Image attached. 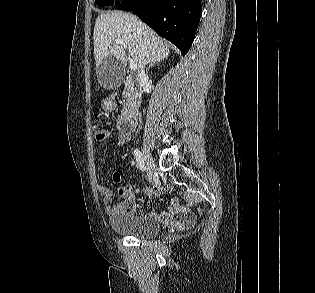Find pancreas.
Instances as JSON below:
<instances>
[{
    "label": "pancreas",
    "mask_w": 315,
    "mask_h": 293,
    "mask_svg": "<svg viewBox=\"0 0 315 293\" xmlns=\"http://www.w3.org/2000/svg\"><path fill=\"white\" fill-rule=\"evenodd\" d=\"M123 96L125 99V104L122 112L127 113L139 102L138 86L135 85L132 81H128L126 84V88L123 91Z\"/></svg>",
    "instance_id": "obj_1"
}]
</instances>
